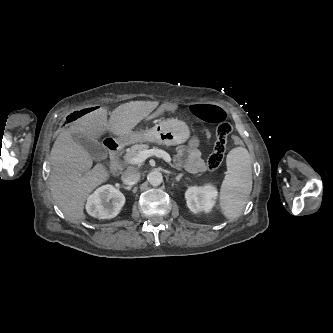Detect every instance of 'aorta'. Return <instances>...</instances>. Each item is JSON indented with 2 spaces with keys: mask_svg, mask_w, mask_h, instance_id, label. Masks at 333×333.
<instances>
[{
  "mask_svg": "<svg viewBox=\"0 0 333 333\" xmlns=\"http://www.w3.org/2000/svg\"><path fill=\"white\" fill-rule=\"evenodd\" d=\"M147 179L152 186H158L163 182V176L160 171H152L148 174Z\"/></svg>",
  "mask_w": 333,
  "mask_h": 333,
  "instance_id": "obj_1",
  "label": "aorta"
}]
</instances>
